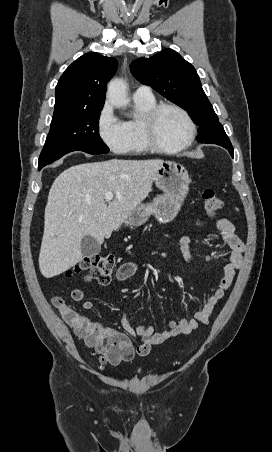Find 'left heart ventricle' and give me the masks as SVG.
Wrapping results in <instances>:
<instances>
[{
  "mask_svg": "<svg viewBox=\"0 0 272 452\" xmlns=\"http://www.w3.org/2000/svg\"><path fill=\"white\" fill-rule=\"evenodd\" d=\"M155 129L157 140L167 147L181 144L188 134L185 119L173 109H165L159 114Z\"/></svg>",
  "mask_w": 272,
  "mask_h": 452,
  "instance_id": "1",
  "label": "left heart ventricle"
}]
</instances>
